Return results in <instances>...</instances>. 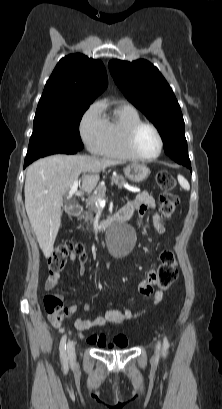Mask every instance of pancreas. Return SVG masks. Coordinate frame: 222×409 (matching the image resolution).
I'll return each mask as SVG.
<instances>
[{
    "mask_svg": "<svg viewBox=\"0 0 222 409\" xmlns=\"http://www.w3.org/2000/svg\"><path fill=\"white\" fill-rule=\"evenodd\" d=\"M112 183H116L120 185L121 183L125 182V179L121 175H114L111 177ZM106 187L104 185H99L96 189V194L94 197L89 198L86 201V211L83 213V218L85 223L92 224L94 221L93 213L97 212V205L95 204V200L98 198L103 199L105 197Z\"/></svg>",
    "mask_w": 222,
    "mask_h": 409,
    "instance_id": "obj_1",
    "label": "pancreas"
}]
</instances>
